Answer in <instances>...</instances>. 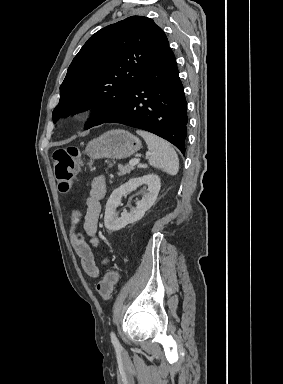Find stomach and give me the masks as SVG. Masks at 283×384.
<instances>
[{
  "instance_id": "0dacf381",
  "label": "stomach",
  "mask_w": 283,
  "mask_h": 384,
  "mask_svg": "<svg viewBox=\"0 0 283 384\" xmlns=\"http://www.w3.org/2000/svg\"><path fill=\"white\" fill-rule=\"evenodd\" d=\"M141 148V142L125 130H110L99 138H94L85 148V152L91 160L99 158H112L123 160L129 158Z\"/></svg>"
}]
</instances>
